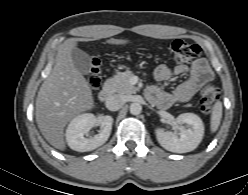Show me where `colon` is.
Segmentation results:
<instances>
[{
	"mask_svg": "<svg viewBox=\"0 0 248 195\" xmlns=\"http://www.w3.org/2000/svg\"><path fill=\"white\" fill-rule=\"evenodd\" d=\"M171 59L179 64L188 63L198 58L202 51L198 44L189 43L182 39L172 41L168 47ZM100 60L93 57L90 61L88 82L93 89L99 87L100 79ZM219 88L213 84H206L202 87L200 92L199 107L201 111L208 114L215 101L219 96Z\"/></svg>",
	"mask_w": 248,
	"mask_h": 195,
	"instance_id": "obj_1",
	"label": "colon"
}]
</instances>
